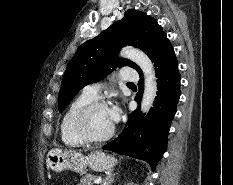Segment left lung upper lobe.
I'll use <instances>...</instances> for the list:
<instances>
[{"instance_id": "1", "label": "left lung upper lobe", "mask_w": 233, "mask_h": 185, "mask_svg": "<svg viewBox=\"0 0 233 185\" xmlns=\"http://www.w3.org/2000/svg\"><path fill=\"white\" fill-rule=\"evenodd\" d=\"M164 38L166 34L155 19L146 13L128 10L122 20L77 50L61 84L58 110L62 112L80 89L101 80L117 66H130L139 72L141 69L134 62L117 56L121 47L140 48L152 58Z\"/></svg>"}]
</instances>
